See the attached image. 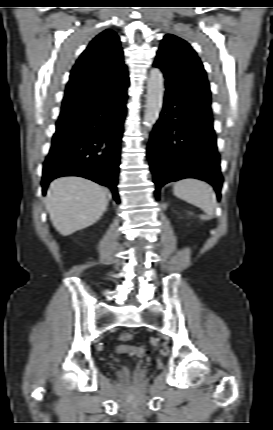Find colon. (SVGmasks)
I'll use <instances>...</instances> for the list:
<instances>
[{"mask_svg": "<svg viewBox=\"0 0 273 430\" xmlns=\"http://www.w3.org/2000/svg\"><path fill=\"white\" fill-rule=\"evenodd\" d=\"M119 338L122 341H130L133 338V335L129 332H124L120 334ZM118 352L119 353L129 352L134 356L141 358L147 355L148 350L145 347H141V346H130L128 349H123L121 346H119Z\"/></svg>", "mask_w": 273, "mask_h": 430, "instance_id": "1", "label": "colon"}]
</instances>
